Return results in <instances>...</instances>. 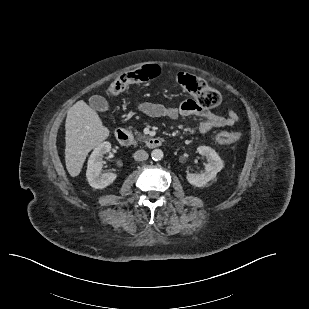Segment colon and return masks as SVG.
Masks as SVG:
<instances>
[{
    "label": "colon",
    "mask_w": 309,
    "mask_h": 309,
    "mask_svg": "<svg viewBox=\"0 0 309 309\" xmlns=\"http://www.w3.org/2000/svg\"><path fill=\"white\" fill-rule=\"evenodd\" d=\"M161 73L160 66L156 64L146 65L140 69H136L124 73L117 77L107 88L110 96L118 95L130 85L140 82H147L155 79ZM178 84L188 91L195 98L196 102L205 108L216 107L221 102V94L218 90L197 78L180 74L177 78ZM241 134L239 132H225L218 136V140L222 143H232L239 140Z\"/></svg>",
    "instance_id": "1"
}]
</instances>
